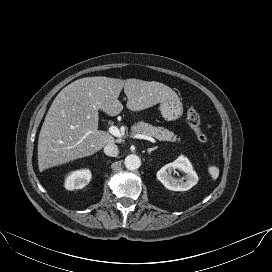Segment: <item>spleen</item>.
Returning <instances> with one entry per match:
<instances>
[{
	"label": "spleen",
	"mask_w": 272,
	"mask_h": 272,
	"mask_svg": "<svg viewBox=\"0 0 272 272\" xmlns=\"http://www.w3.org/2000/svg\"><path fill=\"white\" fill-rule=\"evenodd\" d=\"M208 172L213 180H216L219 176V168L216 166H209Z\"/></svg>",
	"instance_id": "1"
}]
</instances>
